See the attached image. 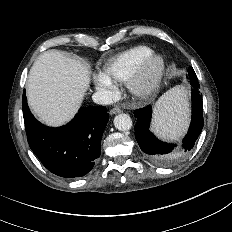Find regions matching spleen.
<instances>
[{"instance_id":"3e777b00","label":"spleen","mask_w":232,"mask_h":232,"mask_svg":"<svg viewBox=\"0 0 232 232\" xmlns=\"http://www.w3.org/2000/svg\"><path fill=\"white\" fill-rule=\"evenodd\" d=\"M188 100L184 86H177L161 98L155 109L154 131L167 139H178L187 126Z\"/></svg>"}]
</instances>
